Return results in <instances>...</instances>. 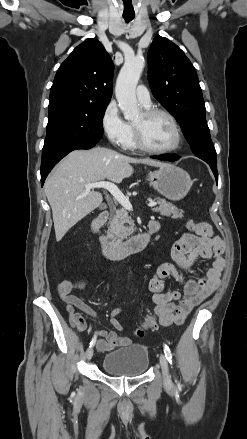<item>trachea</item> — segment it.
<instances>
[{
	"mask_svg": "<svg viewBox=\"0 0 247 439\" xmlns=\"http://www.w3.org/2000/svg\"><path fill=\"white\" fill-rule=\"evenodd\" d=\"M123 17L127 23L130 22L131 20H133V18H134V16H123Z\"/></svg>",
	"mask_w": 247,
	"mask_h": 439,
	"instance_id": "3493384b",
	"label": "trachea"
}]
</instances>
